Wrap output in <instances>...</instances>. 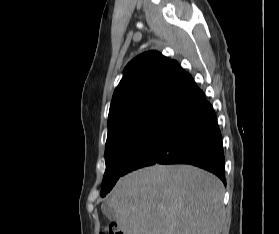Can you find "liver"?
I'll return each mask as SVG.
<instances>
[{
	"mask_svg": "<svg viewBox=\"0 0 279 234\" xmlns=\"http://www.w3.org/2000/svg\"><path fill=\"white\" fill-rule=\"evenodd\" d=\"M223 196V183L207 171L155 165L120 178L105 205L123 234H220Z\"/></svg>",
	"mask_w": 279,
	"mask_h": 234,
	"instance_id": "liver-1",
	"label": "liver"
}]
</instances>
